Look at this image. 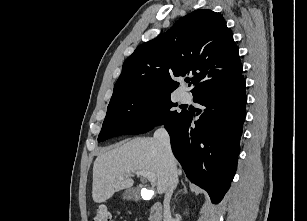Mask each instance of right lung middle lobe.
I'll return each instance as SVG.
<instances>
[{"label":"right lung middle lobe","instance_id":"1","mask_svg":"<svg viewBox=\"0 0 307 221\" xmlns=\"http://www.w3.org/2000/svg\"><path fill=\"white\" fill-rule=\"evenodd\" d=\"M170 94L146 93L122 98L108 105L98 142L122 134H140L152 129V123L168 125L185 111L172 110Z\"/></svg>","mask_w":307,"mask_h":221}]
</instances>
